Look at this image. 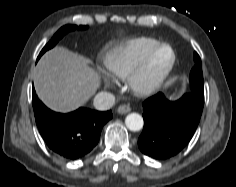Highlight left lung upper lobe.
I'll return each mask as SVG.
<instances>
[{
	"instance_id": "left-lung-upper-lobe-1",
	"label": "left lung upper lobe",
	"mask_w": 236,
	"mask_h": 187,
	"mask_svg": "<svg viewBox=\"0 0 236 187\" xmlns=\"http://www.w3.org/2000/svg\"><path fill=\"white\" fill-rule=\"evenodd\" d=\"M195 65L190 72V87L193 93L204 99V81L199 55L194 52Z\"/></svg>"
}]
</instances>
